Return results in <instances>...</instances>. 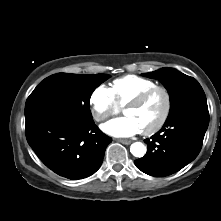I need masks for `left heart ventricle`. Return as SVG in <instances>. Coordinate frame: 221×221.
Here are the masks:
<instances>
[{"label": "left heart ventricle", "mask_w": 221, "mask_h": 221, "mask_svg": "<svg viewBox=\"0 0 221 221\" xmlns=\"http://www.w3.org/2000/svg\"><path fill=\"white\" fill-rule=\"evenodd\" d=\"M165 109V97L161 91L155 92L140 106L128 108L125 115L132 117L141 130L153 127L161 118Z\"/></svg>", "instance_id": "obj_1"}]
</instances>
